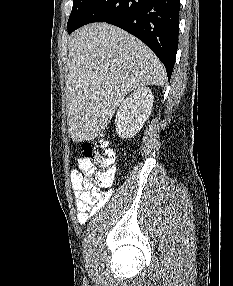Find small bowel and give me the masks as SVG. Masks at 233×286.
<instances>
[{"mask_svg":"<svg viewBox=\"0 0 233 286\" xmlns=\"http://www.w3.org/2000/svg\"><path fill=\"white\" fill-rule=\"evenodd\" d=\"M78 167L70 171L69 181L75 198L77 219L83 223L104 206L110 198V192L93 185L88 175L92 164L86 158L78 159Z\"/></svg>","mask_w":233,"mask_h":286,"instance_id":"small-bowel-1","label":"small bowel"}]
</instances>
